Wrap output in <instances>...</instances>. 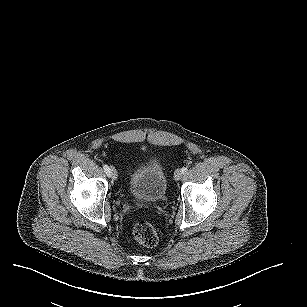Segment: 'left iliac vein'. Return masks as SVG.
Segmentation results:
<instances>
[{
  "mask_svg": "<svg viewBox=\"0 0 307 307\" xmlns=\"http://www.w3.org/2000/svg\"><path fill=\"white\" fill-rule=\"evenodd\" d=\"M182 176H183L182 170L181 169H177L175 171V174H174V179L176 181H179L182 178Z\"/></svg>",
  "mask_w": 307,
  "mask_h": 307,
  "instance_id": "obj_1",
  "label": "left iliac vein"
}]
</instances>
